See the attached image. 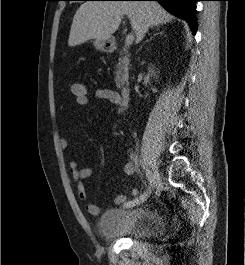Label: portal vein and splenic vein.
Instances as JSON below:
<instances>
[{"instance_id":"obj_1","label":"portal vein and splenic vein","mask_w":245,"mask_h":265,"mask_svg":"<svg viewBox=\"0 0 245 265\" xmlns=\"http://www.w3.org/2000/svg\"><path fill=\"white\" fill-rule=\"evenodd\" d=\"M134 41V35L133 34H129L127 37H126V40H125V44L126 46H130L132 45Z\"/></svg>"}]
</instances>
